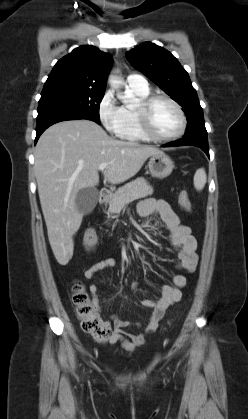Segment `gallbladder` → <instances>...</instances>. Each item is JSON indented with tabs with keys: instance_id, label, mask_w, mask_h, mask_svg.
I'll list each match as a JSON object with an SVG mask.
<instances>
[{
	"instance_id": "obj_1",
	"label": "gallbladder",
	"mask_w": 248,
	"mask_h": 419,
	"mask_svg": "<svg viewBox=\"0 0 248 419\" xmlns=\"http://www.w3.org/2000/svg\"><path fill=\"white\" fill-rule=\"evenodd\" d=\"M99 192L93 187L81 189L75 199L76 206L83 214H89L96 206Z\"/></svg>"
}]
</instances>
